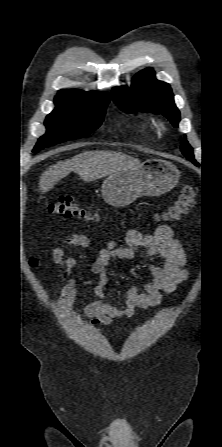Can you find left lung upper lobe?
I'll return each mask as SVG.
<instances>
[{
	"instance_id": "5c2ea615",
	"label": "left lung upper lobe",
	"mask_w": 222,
	"mask_h": 447,
	"mask_svg": "<svg viewBox=\"0 0 222 447\" xmlns=\"http://www.w3.org/2000/svg\"><path fill=\"white\" fill-rule=\"evenodd\" d=\"M112 97L123 111L163 114L174 127H178L180 112L174 103L171 87L168 83L157 80L152 68L137 73L130 88L127 86L113 88ZM181 150L187 159L195 160L193 149L186 139L182 140Z\"/></svg>"
}]
</instances>
